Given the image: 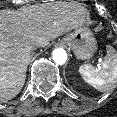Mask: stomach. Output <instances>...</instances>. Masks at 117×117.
I'll return each mask as SVG.
<instances>
[{
	"instance_id": "stomach-1",
	"label": "stomach",
	"mask_w": 117,
	"mask_h": 117,
	"mask_svg": "<svg viewBox=\"0 0 117 117\" xmlns=\"http://www.w3.org/2000/svg\"><path fill=\"white\" fill-rule=\"evenodd\" d=\"M62 42L73 50L77 59H89L97 50V41L87 27L76 28Z\"/></svg>"
}]
</instances>
